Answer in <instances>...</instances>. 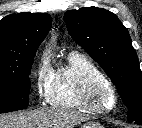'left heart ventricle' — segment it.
Wrapping results in <instances>:
<instances>
[{
	"mask_svg": "<svg viewBox=\"0 0 142 128\" xmlns=\"http://www.w3.org/2000/svg\"><path fill=\"white\" fill-rule=\"evenodd\" d=\"M109 101H110L109 97H108V96H105V97H104V102H105V104H109Z\"/></svg>",
	"mask_w": 142,
	"mask_h": 128,
	"instance_id": "obj_1",
	"label": "left heart ventricle"
}]
</instances>
